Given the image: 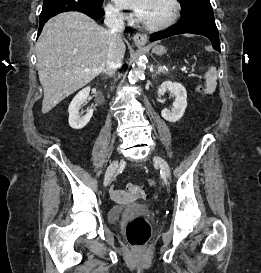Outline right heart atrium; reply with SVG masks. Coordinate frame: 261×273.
Returning <instances> with one entry per match:
<instances>
[{
  "instance_id": "obj_1",
  "label": "right heart atrium",
  "mask_w": 261,
  "mask_h": 273,
  "mask_svg": "<svg viewBox=\"0 0 261 273\" xmlns=\"http://www.w3.org/2000/svg\"><path fill=\"white\" fill-rule=\"evenodd\" d=\"M106 14L111 20L122 21L124 19V14L122 13V11L113 4L107 5Z\"/></svg>"
}]
</instances>
